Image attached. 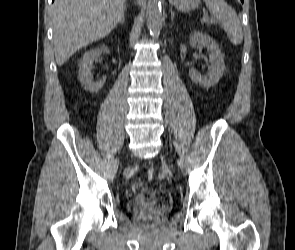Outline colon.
Returning <instances> with one entry per match:
<instances>
[{
    "instance_id": "obj_1",
    "label": "colon",
    "mask_w": 295,
    "mask_h": 250,
    "mask_svg": "<svg viewBox=\"0 0 295 250\" xmlns=\"http://www.w3.org/2000/svg\"><path fill=\"white\" fill-rule=\"evenodd\" d=\"M154 175H155V171L153 168H150L148 171H147V179L148 180H152L154 178Z\"/></svg>"
}]
</instances>
